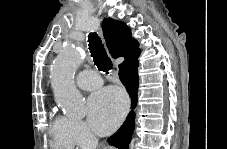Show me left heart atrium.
I'll use <instances>...</instances> for the list:
<instances>
[{
    "label": "left heart atrium",
    "instance_id": "1",
    "mask_svg": "<svg viewBox=\"0 0 227 149\" xmlns=\"http://www.w3.org/2000/svg\"><path fill=\"white\" fill-rule=\"evenodd\" d=\"M126 110L124 93L114 87L104 88L89 99V123L98 134L110 133L120 123Z\"/></svg>",
    "mask_w": 227,
    "mask_h": 149
}]
</instances>
